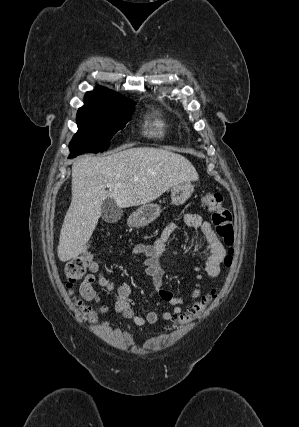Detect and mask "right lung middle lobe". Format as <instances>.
Listing matches in <instances>:
<instances>
[{"label": "right lung middle lobe", "mask_w": 299, "mask_h": 427, "mask_svg": "<svg viewBox=\"0 0 299 427\" xmlns=\"http://www.w3.org/2000/svg\"><path fill=\"white\" fill-rule=\"evenodd\" d=\"M133 105L128 99L85 103L77 113L78 131L69 144L70 155L106 150L113 135L130 121Z\"/></svg>", "instance_id": "right-lung-middle-lobe-1"}]
</instances>
